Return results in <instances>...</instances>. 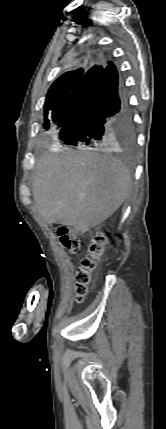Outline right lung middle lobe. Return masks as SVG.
Wrapping results in <instances>:
<instances>
[{"instance_id":"right-lung-middle-lobe-1","label":"right lung middle lobe","mask_w":166,"mask_h":429,"mask_svg":"<svg viewBox=\"0 0 166 429\" xmlns=\"http://www.w3.org/2000/svg\"><path fill=\"white\" fill-rule=\"evenodd\" d=\"M84 75H75L50 87L44 104L45 129H49L50 121L61 128ZM49 116L50 120L47 118ZM119 143L131 147L134 142V127L118 128L107 140V145Z\"/></svg>"}]
</instances>
